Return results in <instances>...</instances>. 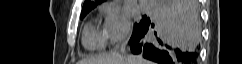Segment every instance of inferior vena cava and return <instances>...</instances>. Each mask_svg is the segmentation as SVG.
Returning a JSON list of instances; mask_svg holds the SVG:
<instances>
[{
	"label": "inferior vena cava",
	"instance_id": "1",
	"mask_svg": "<svg viewBox=\"0 0 242 64\" xmlns=\"http://www.w3.org/2000/svg\"><path fill=\"white\" fill-rule=\"evenodd\" d=\"M121 53H125V44L121 46Z\"/></svg>",
	"mask_w": 242,
	"mask_h": 64
}]
</instances>
